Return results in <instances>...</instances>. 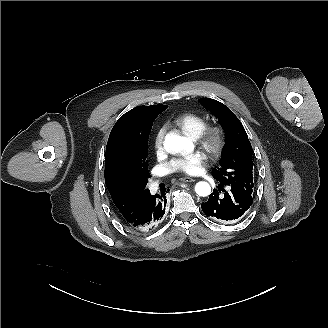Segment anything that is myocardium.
Masks as SVG:
<instances>
[{
    "mask_svg": "<svg viewBox=\"0 0 328 328\" xmlns=\"http://www.w3.org/2000/svg\"><path fill=\"white\" fill-rule=\"evenodd\" d=\"M190 143L205 149L216 161L225 151L228 133L225 127L219 122L206 123L201 133L197 137H187Z\"/></svg>",
    "mask_w": 328,
    "mask_h": 328,
    "instance_id": "myocardium-1",
    "label": "myocardium"
}]
</instances>
